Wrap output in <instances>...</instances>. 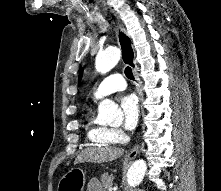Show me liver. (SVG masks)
Instances as JSON below:
<instances>
[{"instance_id": "liver-1", "label": "liver", "mask_w": 221, "mask_h": 191, "mask_svg": "<svg viewBox=\"0 0 221 191\" xmlns=\"http://www.w3.org/2000/svg\"><path fill=\"white\" fill-rule=\"evenodd\" d=\"M124 150L114 147H100V148H88L83 150L75 159L74 164L91 162V163H103L107 161H113L121 157Z\"/></svg>"}]
</instances>
